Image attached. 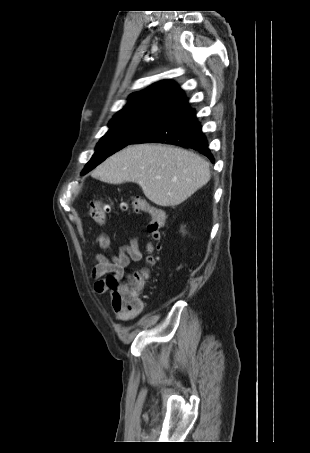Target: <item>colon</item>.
Segmentation results:
<instances>
[{
  "label": "colon",
  "mask_w": 310,
  "mask_h": 453,
  "mask_svg": "<svg viewBox=\"0 0 310 453\" xmlns=\"http://www.w3.org/2000/svg\"><path fill=\"white\" fill-rule=\"evenodd\" d=\"M111 203L104 200H94L90 204V216L97 224H105L107 214L111 210ZM121 210H134L137 213H143L148 216L147 232L150 242L146 247V264L147 266L136 270L127 275V281L110 279V289L112 292V306L116 313L132 317L141 313L144 309V303L139 296V293L149 278L148 266L153 265L158 257V242L163 237L166 217L164 212L149 204L145 199L140 197H132L120 205Z\"/></svg>",
  "instance_id": "obj_1"
}]
</instances>
